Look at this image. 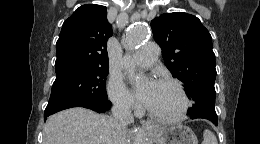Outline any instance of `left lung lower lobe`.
I'll list each match as a JSON object with an SVG mask.
<instances>
[{"instance_id":"left-lung-lower-lobe-1","label":"left lung lower lobe","mask_w":260,"mask_h":144,"mask_svg":"<svg viewBox=\"0 0 260 144\" xmlns=\"http://www.w3.org/2000/svg\"><path fill=\"white\" fill-rule=\"evenodd\" d=\"M192 119H207L215 125H218V119L216 114H203L198 117H193Z\"/></svg>"}]
</instances>
